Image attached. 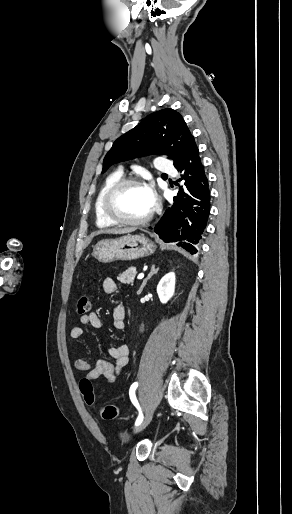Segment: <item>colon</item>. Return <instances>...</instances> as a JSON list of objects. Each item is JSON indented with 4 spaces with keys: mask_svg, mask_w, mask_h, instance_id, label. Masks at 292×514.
I'll list each match as a JSON object with an SVG mask.
<instances>
[{
    "mask_svg": "<svg viewBox=\"0 0 292 514\" xmlns=\"http://www.w3.org/2000/svg\"><path fill=\"white\" fill-rule=\"evenodd\" d=\"M91 301L88 297L82 296L76 302V312L78 315H86L90 312ZM80 392L83 394L86 403L96 404L97 400L93 393V384L90 380H82L79 385ZM102 419L111 420L118 415V409L113 404H103L99 408Z\"/></svg>",
    "mask_w": 292,
    "mask_h": 514,
    "instance_id": "obj_1",
    "label": "colon"
}]
</instances>
